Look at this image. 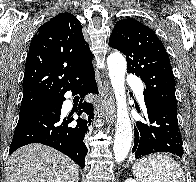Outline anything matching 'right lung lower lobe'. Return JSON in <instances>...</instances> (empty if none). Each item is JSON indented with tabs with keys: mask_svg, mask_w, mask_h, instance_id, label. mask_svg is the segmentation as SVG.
I'll return each instance as SVG.
<instances>
[{
	"mask_svg": "<svg viewBox=\"0 0 196 182\" xmlns=\"http://www.w3.org/2000/svg\"><path fill=\"white\" fill-rule=\"evenodd\" d=\"M93 65L78 74L75 79L64 86L41 107L20 114L9 154L29 143H41L53 147L73 159L82 169L85 166L87 147L84 138L89 133L87 120L78 119L76 126L69 125L73 118L61 116L64 94L81 90L83 97L87 93H98ZM77 114L82 112L92 117L93 107L90 103L80 101Z\"/></svg>",
	"mask_w": 196,
	"mask_h": 182,
	"instance_id": "right-lung-lower-lobe-1",
	"label": "right lung lower lobe"
}]
</instances>
